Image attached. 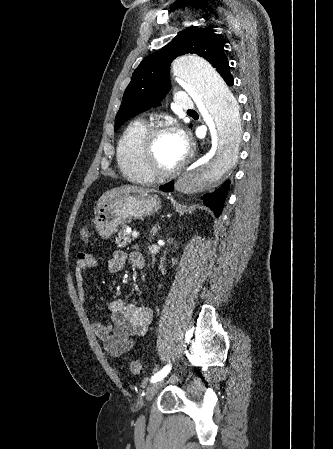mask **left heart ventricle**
Listing matches in <instances>:
<instances>
[{"instance_id":"obj_1","label":"left heart ventricle","mask_w":333,"mask_h":449,"mask_svg":"<svg viewBox=\"0 0 333 449\" xmlns=\"http://www.w3.org/2000/svg\"><path fill=\"white\" fill-rule=\"evenodd\" d=\"M155 163L162 170L174 168L184 158L174 132L160 134L155 142Z\"/></svg>"}]
</instances>
